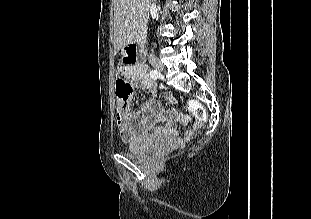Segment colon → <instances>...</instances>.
I'll return each mask as SVG.
<instances>
[{"mask_svg": "<svg viewBox=\"0 0 311 219\" xmlns=\"http://www.w3.org/2000/svg\"><path fill=\"white\" fill-rule=\"evenodd\" d=\"M127 56V63L135 64L136 57L134 55H130L128 52V47L126 50ZM132 86L127 80V77L123 74L116 79V96L118 100V111L119 115H123L127 108L132 96ZM188 108L194 115V117L200 121L205 120L206 118V111L205 109L196 101H191L188 103Z\"/></svg>", "mask_w": 311, "mask_h": 219, "instance_id": "colon-1", "label": "colon"}]
</instances>
